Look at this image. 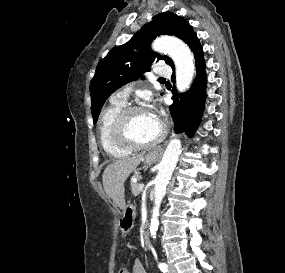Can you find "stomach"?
<instances>
[{
  "mask_svg": "<svg viewBox=\"0 0 285 273\" xmlns=\"http://www.w3.org/2000/svg\"><path fill=\"white\" fill-rule=\"evenodd\" d=\"M158 158H159L158 152L151 151L144 157L143 162L145 165H151L154 162H156ZM134 218H135V207L132 204H127L124 209V216L122 222L126 223L127 221H131ZM121 229L123 232H127V229H125V227H122Z\"/></svg>",
  "mask_w": 285,
  "mask_h": 273,
  "instance_id": "obj_1",
  "label": "stomach"
}]
</instances>
